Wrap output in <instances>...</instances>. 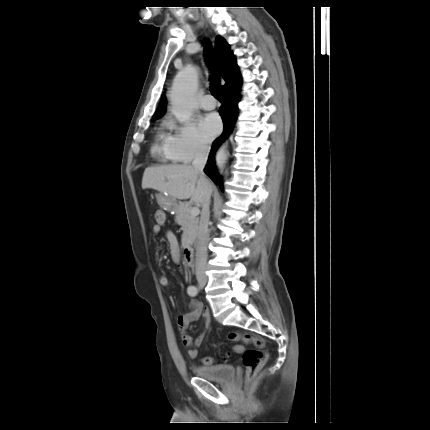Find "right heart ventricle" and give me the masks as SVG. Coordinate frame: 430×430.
<instances>
[{
	"label": "right heart ventricle",
	"mask_w": 430,
	"mask_h": 430,
	"mask_svg": "<svg viewBox=\"0 0 430 430\" xmlns=\"http://www.w3.org/2000/svg\"><path fill=\"white\" fill-rule=\"evenodd\" d=\"M167 136L163 127H160L155 135V142L152 147V152L161 158L163 161H173L167 150Z\"/></svg>",
	"instance_id": "obj_1"
}]
</instances>
